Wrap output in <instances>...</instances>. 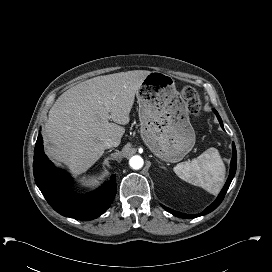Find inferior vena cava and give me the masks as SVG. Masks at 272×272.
I'll return each mask as SVG.
<instances>
[{
	"label": "inferior vena cava",
	"mask_w": 272,
	"mask_h": 272,
	"mask_svg": "<svg viewBox=\"0 0 272 272\" xmlns=\"http://www.w3.org/2000/svg\"><path fill=\"white\" fill-rule=\"evenodd\" d=\"M119 145V143L113 139H106L105 142H104V147L105 149H109V148H112V147H117Z\"/></svg>",
	"instance_id": "1"
}]
</instances>
